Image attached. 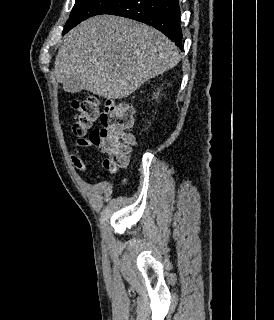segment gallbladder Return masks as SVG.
<instances>
[{
	"instance_id": "bac80fb5",
	"label": "gallbladder",
	"mask_w": 274,
	"mask_h": 320,
	"mask_svg": "<svg viewBox=\"0 0 274 320\" xmlns=\"http://www.w3.org/2000/svg\"><path fill=\"white\" fill-rule=\"evenodd\" d=\"M74 78H68L67 84H68V90H71L72 95H79L80 94V85L83 83V80L80 77V74L78 72H75L73 74Z\"/></svg>"
}]
</instances>
